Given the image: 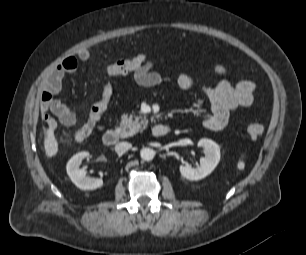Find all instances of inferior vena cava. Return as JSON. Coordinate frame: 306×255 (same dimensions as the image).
Here are the masks:
<instances>
[{
  "label": "inferior vena cava",
  "mask_w": 306,
  "mask_h": 255,
  "mask_svg": "<svg viewBox=\"0 0 306 255\" xmlns=\"http://www.w3.org/2000/svg\"><path fill=\"white\" fill-rule=\"evenodd\" d=\"M131 147H132V145L128 142H120V143L115 145V151H116V153L122 155L126 151H128Z\"/></svg>",
  "instance_id": "1"
}]
</instances>
